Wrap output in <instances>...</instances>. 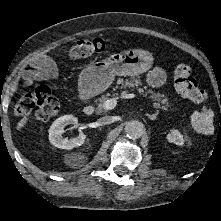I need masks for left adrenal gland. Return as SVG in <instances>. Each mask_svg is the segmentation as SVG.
Returning <instances> with one entry per match:
<instances>
[{"instance_id":"left-adrenal-gland-1","label":"left adrenal gland","mask_w":221,"mask_h":221,"mask_svg":"<svg viewBox=\"0 0 221 221\" xmlns=\"http://www.w3.org/2000/svg\"><path fill=\"white\" fill-rule=\"evenodd\" d=\"M157 116H158V111L155 114H147V117L152 121L156 120Z\"/></svg>"}]
</instances>
